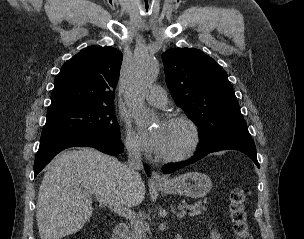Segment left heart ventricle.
I'll return each mask as SVG.
<instances>
[{
    "label": "left heart ventricle",
    "mask_w": 304,
    "mask_h": 239,
    "mask_svg": "<svg viewBox=\"0 0 304 239\" xmlns=\"http://www.w3.org/2000/svg\"><path fill=\"white\" fill-rule=\"evenodd\" d=\"M163 124H165L166 131L159 154H172L184 149L190 139L187 127L175 122H165Z\"/></svg>",
    "instance_id": "obj_1"
}]
</instances>
